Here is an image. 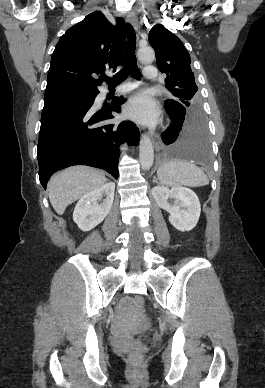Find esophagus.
Here are the masks:
<instances>
[{"label": "esophagus", "instance_id": "esophagus-1", "mask_svg": "<svg viewBox=\"0 0 265 388\" xmlns=\"http://www.w3.org/2000/svg\"><path fill=\"white\" fill-rule=\"evenodd\" d=\"M127 21L133 25L136 33H140V27H139V20L137 18V15L135 14V12H128V15H127ZM150 137L153 139L154 141V144H155V148L156 150H160L163 148V143L162 141L160 140V138L154 133V132H150Z\"/></svg>", "mask_w": 265, "mask_h": 388}]
</instances>
